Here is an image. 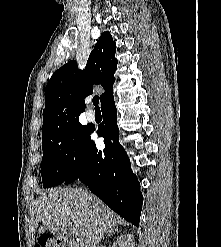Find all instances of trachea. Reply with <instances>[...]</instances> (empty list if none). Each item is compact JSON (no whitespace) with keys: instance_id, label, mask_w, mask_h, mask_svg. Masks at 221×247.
<instances>
[{"instance_id":"3493384b","label":"trachea","mask_w":221,"mask_h":247,"mask_svg":"<svg viewBox=\"0 0 221 247\" xmlns=\"http://www.w3.org/2000/svg\"><path fill=\"white\" fill-rule=\"evenodd\" d=\"M93 105L95 106V110H100L98 104H99V97L98 96H94L93 97Z\"/></svg>"}]
</instances>
